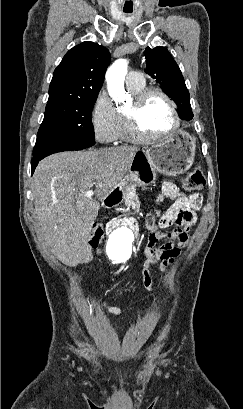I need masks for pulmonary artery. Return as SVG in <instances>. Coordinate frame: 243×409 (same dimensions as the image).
Masks as SVG:
<instances>
[{
    "label": "pulmonary artery",
    "mask_w": 243,
    "mask_h": 409,
    "mask_svg": "<svg viewBox=\"0 0 243 409\" xmlns=\"http://www.w3.org/2000/svg\"><path fill=\"white\" fill-rule=\"evenodd\" d=\"M127 86L137 87L144 84V77L140 72L131 71L126 76Z\"/></svg>",
    "instance_id": "obj_1"
}]
</instances>
